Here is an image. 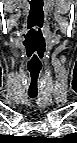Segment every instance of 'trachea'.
<instances>
[{"mask_svg": "<svg viewBox=\"0 0 77 143\" xmlns=\"http://www.w3.org/2000/svg\"><path fill=\"white\" fill-rule=\"evenodd\" d=\"M36 96L37 95H31V94H29V97L32 98V99L36 98Z\"/></svg>", "mask_w": 77, "mask_h": 143, "instance_id": "1", "label": "trachea"}]
</instances>
